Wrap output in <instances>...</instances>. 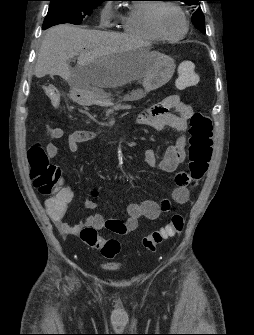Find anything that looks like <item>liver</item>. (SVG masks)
I'll use <instances>...</instances> for the list:
<instances>
[{"label": "liver", "mask_w": 254, "mask_h": 335, "mask_svg": "<svg viewBox=\"0 0 254 335\" xmlns=\"http://www.w3.org/2000/svg\"><path fill=\"white\" fill-rule=\"evenodd\" d=\"M144 46L137 38L123 33L56 25L45 33L35 75H58L73 88H116L143 78L152 67V54L125 55ZM74 57L77 66L71 69L69 61ZM96 61L98 65L88 68Z\"/></svg>", "instance_id": "6515ba94"}]
</instances>
